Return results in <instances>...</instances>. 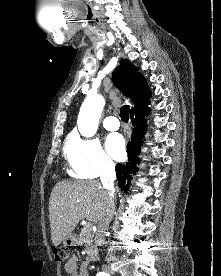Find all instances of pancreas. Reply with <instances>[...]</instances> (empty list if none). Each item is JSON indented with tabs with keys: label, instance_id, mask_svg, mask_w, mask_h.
I'll return each instance as SVG.
<instances>
[{
	"label": "pancreas",
	"instance_id": "1",
	"mask_svg": "<svg viewBox=\"0 0 221 276\" xmlns=\"http://www.w3.org/2000/svg\"><path fill=\"white\" fill-rule=\"evenodd\" d=\"M93 235L91 227L84 226L78 236L77 244L84 245L86 249L92 248Z\"/></svg>",
	"mask_w": 221,
	"mask_h": 276
}]
</instances>
